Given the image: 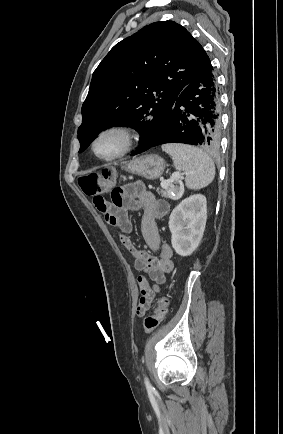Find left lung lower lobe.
I'll return each mask as SVG.
<instances>
[{"mask_svg": "<svg viewBox=\"0 0 283 434\" xmlns=\"http://www.w3.org/2000/svg\"><path fill=\"white\" fill-rule=\"evenodd\" d=\"M220 95L213 68L190 82L177 97L168 120L149 146L185 143L217 151L220 142Z\"/></svg>", "mask_w": 283, "mask_h": 434, "instance_id": "1", "label": "left lung lower lobe"}]
</instances>
